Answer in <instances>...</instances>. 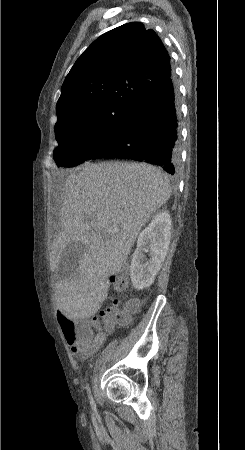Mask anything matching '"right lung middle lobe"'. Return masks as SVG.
Returning <instances> with one entry per match:
<instances>
[{"instance_id":"dd1d6c3e","label":"right lung middle lobe","mask_w":245,"mask_h":450,"mask_svg":"<svg viewBox=\"0 0 245 450\" xmlns=\"http://www.w3.org/2000/svg\"><path fill=\"white\" fill-rule=\"evenodd\" d=\"M132 107L105 104L58 116L53 157L58 166L74 167L114 143L126 128Z\"/></svg>"}]
</instances>
